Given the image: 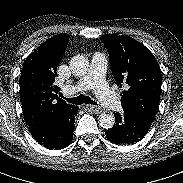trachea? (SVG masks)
Segmentation results:
<instances>
[{
	"instance_id": "trachea-1",
	"label": "trachea",
	"mask_w": 183,
	"mask_h": 183,
	"mask_svg": "<svg viewBox=\"0 0 183 183\" xmlns=\"http://www.w3.org/2000/svg\"><path fill=\"white\" fill-rule=\"evenodd\" d=\"M64 98V97H63ZM67 100V102L69 103H72V104H77V105H80V104H92V105H97V103L93 100H91L90 97L88 96H85V95H79L77 97H73V98H64Z\"/></svg>"
}]
</instances>
